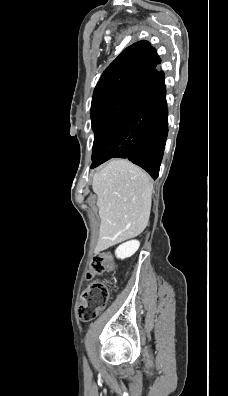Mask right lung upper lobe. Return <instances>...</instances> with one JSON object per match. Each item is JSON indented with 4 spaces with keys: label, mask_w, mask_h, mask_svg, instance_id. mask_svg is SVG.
<instances>
[{
    "label": "right lung upper lobe",
    "mask_w": 228,
    "mask_h": 396,
    "mask_svg": "<svg viewBox=\"0 0 228 396\" xmlns=\"http://www.w3.org/2000/svg\"><path fill=\"white\" fill-rule=\"evenodd\" d=\"M156 51L147 41H140L124 49L121 54L103 72L97 86L105 81L138 70H145L144 61Z\"/></svg>",
    "instance_id": "cb5924a9"
}]
</instances>
